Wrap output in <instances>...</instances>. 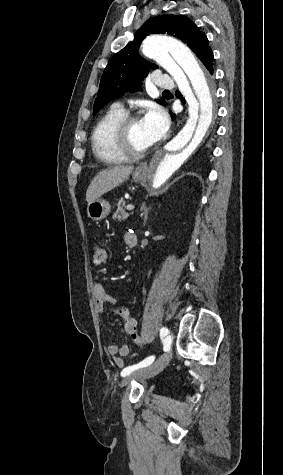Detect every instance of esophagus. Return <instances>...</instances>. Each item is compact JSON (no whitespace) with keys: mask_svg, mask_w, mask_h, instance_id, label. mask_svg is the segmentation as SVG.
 I'll list each match as a JSON object with an SVG mask.
<instances>
[{"mask_svg":"<svg viewBox=\"0 0 283 475\" xmlns=\"http://www.w3.org/2000/svg\"><path fill=\"white\" fill-rule=\"evenodd\" d=\"M158 156H159L158 154H157V155H155V156L153 157V160H152V161H156V160H157V158H158Z\"/></svg>","mask_w":283,"mask_h":475,"instance_id":"esophagus-1","label":"esophagus"}]
</instances>
